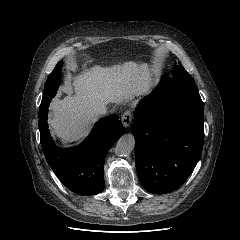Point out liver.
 Listing matches in <instances>:
<instances>
[{
	"mask_svg": "<svg viewBox=\"0 0 240 240\" xmlns=\"http://www.w3.org/2000/svg\"><path fill=\"white\" fill-rule=\"evenodd\" d=\"M153 84V71L146 63L129 61L113 67L96 65L85 69L72 79L74 96L52 100L53 116L49 125L63 140H78L87 134L91 117L95 115L90 109L92 102L132 100L147 94Z\"/></svg>",
	"mask_w": 240,
	"mask_h": 240,
	"instance_id": "6515ba94",
	"label": "liver"
}]
</instances>
